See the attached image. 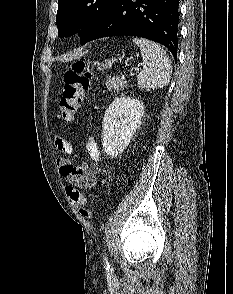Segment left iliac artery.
<instances>
[{
	"instance_id": "obj_1",
	"label": "left iliac artery",
	"mask_w": 233,
	"mask_h": 294,
	"mask_svg": "<svg viewBox=\"0 0 233 294\" xmlns=\"http://www.w3.org/2000/svg\"><path fill=\"white\" fill-rule=\"evenodd\" d=\"M103 259H104L105 267H106V268H110V264H109V262H108V258H107L106 255L103 256Z\"/></svg>"
}]
</instances>
